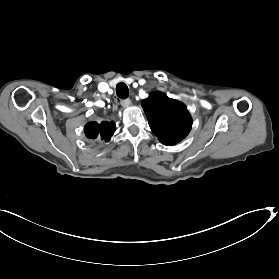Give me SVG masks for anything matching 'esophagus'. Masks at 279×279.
I'll return each instance as SVG.
<instances>
[{"label":"esophagus","instance_id":"esophagus-1","mask_svg":"<svg viewBox=\"0 0 279 279\" xmlns=\"http://www.w3.org/2000/svg\"><path fill=\"white\" fill-rule=\"evenodd\" d=\"M130 103H131V101H130V99H129V98H127V99H123V100L121 101V105H122V107H127V106H129V105H130Z\"/></svg>","mask_w":279,"mask_h":279}]
</instances>
